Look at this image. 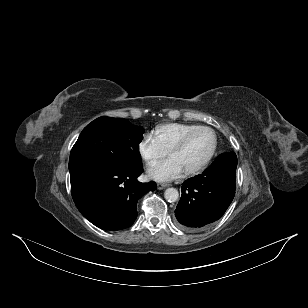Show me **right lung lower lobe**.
Wrapping results in <instances>:
<instances>
[{
    "mask_svg": "<svg viewBox=\"0 0 308 308\" xmlns=\"http://www.w3.org/2000/svg\"><path fill=\"white\" fill-rule=\"evenodd\" d=\"M142 166L134 169L85 167L70 171L75 205L92 224L103 230H121L137 217V201L154 182L140 183Z\"/></svg>",
    "mask_w": 308,
    "mask_h": 308,
    "instance_id": "obj_1",
    "label": "right lung lower lobe"
}]
</instances>
